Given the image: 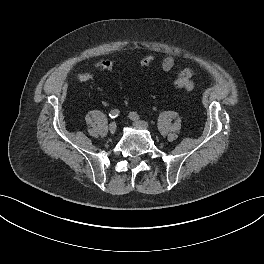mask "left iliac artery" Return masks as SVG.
<instances>
[{"mask_svg":"<svg viewBox=\"0 0 264 264\" xmlns=\"http://www.w3.org/2000/svg\"><path fill=\"white\" fill-rule=\"evenodd\" d=\"M129 117L131 119H139L140 116L136 112H130Z\"/></svg>","mask_w":264,"mask_h":264,"instance_id":"left-iliac-artery-1","label":"left iliac artery"}]
</instances>
